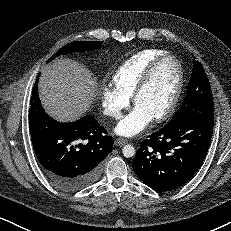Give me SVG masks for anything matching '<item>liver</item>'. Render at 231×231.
Segmentation results:
<instances>
[{
    "instance_id": "1",
    "label": "liver",
    "mask_w": 231,
    "mask_h": 231,
    "mask_svg": "<svg viewBox=\"0 0 231 231\" xmlns=\"http://www.w3.org/2000/svg\"><path fill=\"white\" fill-rule=\"evenodd\" d=\"M97 81L92 72L70 59H59L41 71L39 93L46 112L59 121H75L92 105Z\"/></svg>"
}]
</instances>
